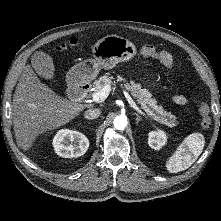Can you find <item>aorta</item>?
Returning <instances> with one entry per match:
<instances>
[{
  "label": "aorta",
  "instance_id": "obj_1",
  "mask_svg": "<svg viewBox=\"0 0 221 221\" xmlns=\"http://www.w3.org/2000/svg\"><path fill=\"white\" fill-rule=\"evenodd\" d=\"M114 127L117 130H123L127 126V118L124 116H117L114 119Z\"/></svg>",
  "mask_w": 221,
  "mask_h": 221
}]
</instances>
